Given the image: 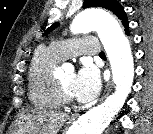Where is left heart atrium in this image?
Returning <instances> with one entry per match:
<instances>
[{"instance_id":"left-heart-atrium-1","label":"left heart atrium","mask_w":153,"mask_h":134,"mask_svg":"<svg viewBox=\"0 0 153 134\" xmlns=\"http://www.w3.org/2000/svg\"><path fill=\"white\" fill-rule=\"evenodd\" d=\"M100 86L96 69L86 64L74 76L72 94L81 102H89L97 96Z\"/></svg>"}]
</instances>
